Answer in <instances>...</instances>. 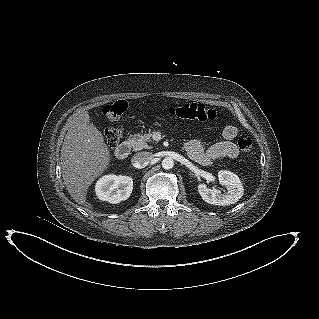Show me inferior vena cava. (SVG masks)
<instances>
[{
    "label": "inferior vena cava",
    "mask_w": 319,
    "mask_h": 319,
    "mask_svg": "<svg viewBox=\"0 0 319 319\" xmlns=\"http://www.w3.org/2000/svg\"><path fill=\"white\" fill-rule=\"evenodd\" d=\"M153 154L147 151L136 153L132 157V164L135 168H143L147 166L153 159Z\"/></svg>",
    "instance_id": "1"
}]
</instances>
